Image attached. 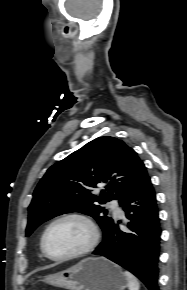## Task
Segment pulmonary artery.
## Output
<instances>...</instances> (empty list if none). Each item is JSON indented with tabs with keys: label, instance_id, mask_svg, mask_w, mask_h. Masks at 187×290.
<instances>
[{
	"label": "pulmonary artery",
	"instance_id": "obj_1",
	"mask_svg": "<svg viewBox=\"0 0 187 290\" xmlns=\"http://www.w3.org/2000/svg\"><path fill=\"white\" fill-rule=\"evenodd\" d=\"M111 207L113 208L116 214H119V215L122 214V209L117 201H112Z\"/></svg>",
	"mask_w": 187,
	"mask_h": 290
}]
</instances>
